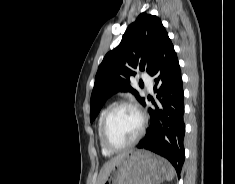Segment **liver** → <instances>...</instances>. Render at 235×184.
Wrapping results in <instances>:
<instances>
[{
	"label": "liver",
	"instance_id": "6515ba94",
	"mask_svg": "<svg viewBox=\"0 0 235 184\" xmlns=\"http://www.w3.org/2000/svg\"><path fill=\"white\" fill-rule=\"evenodd\" d=\"M127 154L129 152H126V154H119V156H116V158H112L110 162H106L104 164L102 170H100V174L98 176L97 184H104L106 178L109 176L110 170H112L113 166H116V164H120L124 158H126Z\"/></svg>",
	"mask_w": 235,
	"mask_h": 184
}]
</instances>
